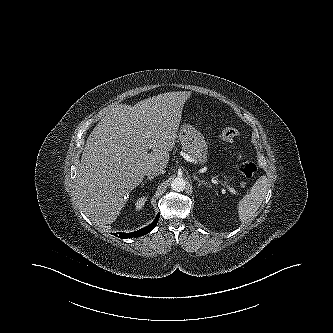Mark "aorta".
<instances>
[{
  "label": "aorta",
  "mask_w": 333,
  "mask_h": 333,
  "mask_svg": "<svg viewBox=\"0 0 333 333\" xmlns=\"http://www.w3.org/2000/svg\"><path fill=\"white\" fill-rule=\"evenodd\" d=\"M186 182L183 178L177 177L171 183V188L174 191L181 192L185 189Z\"/></svg>",
  "instance_id": "aorta-1"
}]
</instances>
